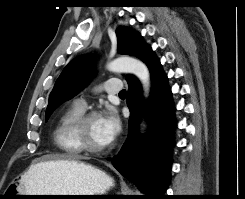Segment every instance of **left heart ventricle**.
I'll return each instance as SVG.
<instances>
[{
    "mask_svg": "<svg viewBox=\"0 0 245 199\" xmlns=\"http://www.w3.org/2000/svg\"><path fill=\"white\" fill-rule=\"evenodd\" d=\"M86 139L87 141L96 147H105L108 143L105 141L102 127L100 123V116L92 118L86 126Z\"/></svg>",
    "mask_w": 245,
    "mask_h": 199,
    "instance_id": "b2bd125f",
    "label": "left heart ventricle"
}]
</instances>
